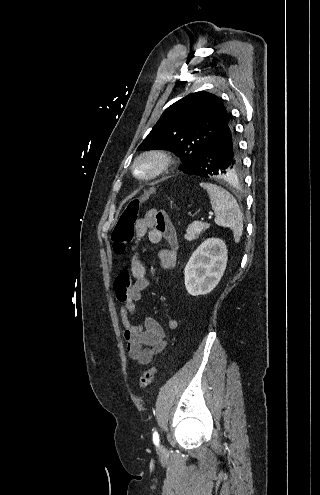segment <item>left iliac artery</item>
Instances as JSON below:
<instances>
[{
    "label": "left iliac artery",
    "instance_id": "44dca946",
    "mask_svg": "<svg viewBox=\"0 0 320 495\" xmlns=\"http://www.w3.org/2000/svg\"><path fill=\"white\" fill-rule=\"evenodd\" d=\"M153 442H154V444H155L156 446H158V445H159V434H158V432H157V431H155V432L153 433Z\"/></svg>",
    "mask_w": 320,
    "mask_h": 495
}]
</instances>
